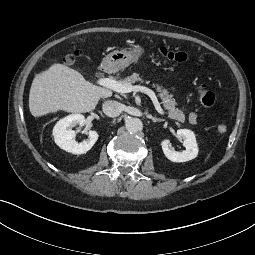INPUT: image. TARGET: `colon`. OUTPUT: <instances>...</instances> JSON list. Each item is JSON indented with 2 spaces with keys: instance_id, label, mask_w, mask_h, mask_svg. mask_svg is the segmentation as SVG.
Listing matches in <instances>:
<instances>
[{
  "instance_id": "1",
  "label": "colon",
  "mask_w": 255,
  "mask_h": 255,
  "mask_svg": "<svg viewBox=\"0 0 255 255\" xmlns=\"http://www.w3.org/2000/svg\"><path fill=\"white\" fill-rule=\"evenodd\" d=\"M161 55L171 61L176 62H186L189 60L190 55L185 51H174L170 50L167 47L162 46L160 48ZM197 90L200 96L201 104L206 108H212L217 101V97L215 93L208 89V85L204 82H201L197 86ZM228 130V126L226 123H220L218 125L219 133H225Z\"/></svg>"
}]
</instances>
